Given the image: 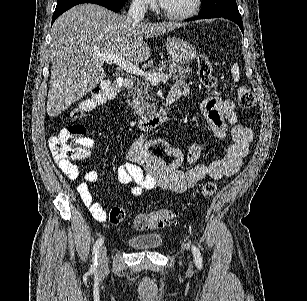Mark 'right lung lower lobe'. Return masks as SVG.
Instances as JSON below:
<instances>
[{
  "instance_id": "right-lung-lower-lobe-1",
  "label": "right lung lower lobe",
  "mask_w": 307,
  "mask_h": 301,
  "mask_svg": "<svg viewBox=\"0 0 307 301\" xmlns=\"http://www.w3.org/2000/svg\"><path fill=\"white\" fill-rule=\"evenodd\" d=\"M125 1L126 0H64L62 2L57 3L56 9L52 17V24L62 13L77 4L94 3L104 6L114 12H119L124 6Z\"/></svg>"
}]
</instances>
